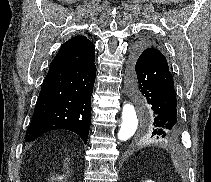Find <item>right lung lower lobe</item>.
Here are the masks:
<instances>
[{
	"label": "right lung lower lobe",
	"instance_id": "1",
	"mask_svg": "<svg viewBox=\"0 0 211 182\" xmlns=\"http://www.w3.org/2000/svg\"><path fill=\"white\" fill-rule=\"evenodd\" d=\"M95 46L86 37L65 42L49 66L25 141L66 129L87 143L96 77Z\"/></svg>",
	"mask_w": 211,
	"mask_h": 182
}]
</instances>
